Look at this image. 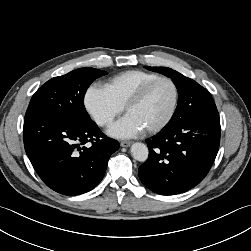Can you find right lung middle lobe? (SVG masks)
Masks as SVG:
<instances>
[{
	"instance_id": "obj_1",
	"label": "right lung middle lobe",
	"mask_w": 251,
	"mask_h": 251,
	"mask_svg": "<svg viewBox=\"0 0 251 251\" xmlns=\"http://www.w3.org/2000/svg\"><path fill=\"white\" fill-rule=\"evenodd\" d=\"M107 72L79 68L43 84L32 96L27 110H40L61 117L73 124L88 125L93 121L84 106L90 84Z\"/></svg>"
}]
</instances>
